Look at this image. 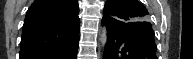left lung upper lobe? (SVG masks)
Instances as JSON below:
<instances>
[{"mask_svg": "<svg viewBox=\"0 0 193 59\" xmlns=\"http://www.w3.org/2000/svg\"><path fill=\"white\" fill-rule=\"evenodd\" d=\"M109 15L127 26L148 22V11L138 0H107L103 15Z\"/></svg>", "mask_w": 193, "mask_h": 59, "instance_id": "5c2ea615", "label": "left lung upper lobe"}]
</instances>
